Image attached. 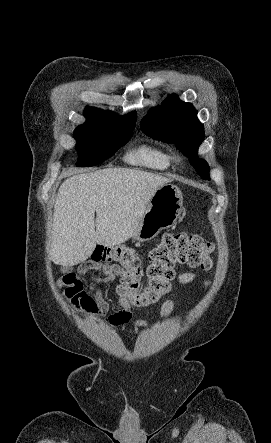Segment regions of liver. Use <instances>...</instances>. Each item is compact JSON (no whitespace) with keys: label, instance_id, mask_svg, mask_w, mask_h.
I'll return each instance as SVG.
<instances>
[{"label":"liver","instance_id":"obj_1","mask_svg":"<svg viewBox=\"0 0 271 443\" xmlns=\"http://www.w3.org/2000/svg\"><path fill=\"white\" fill-rule=\"evenodd\" d=\"M67 178L58 190L51 229L50 259L59 265L82 263L97 243L111 247L127 241L155 190L171 182L150 172L111 166Z\"/></svg>","mask_w":271,"mask_h":443}]
</instances>
